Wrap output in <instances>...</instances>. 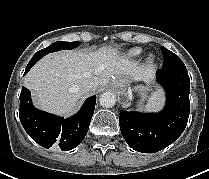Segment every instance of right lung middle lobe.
I'll return each instance as SVG.
<instances>
[{"instance_id":"obj_1","label":"right lung middle lobe","mask_w":209,"mask_h":179,"mask_svg":"<svg viewBox=\"0 0 209 179\" xmlns=\"http://www.w3.org/2000/svg\"><path fill=\"white\" fill-rule=\"evenodd\" d=\"M80 44V42L75 41V42H63V41H58L55 42L53 44H51L50 46H48L47 48H44L40 51H38L30 61H38L40 60L43 56H45L48 53L51 52H55V51H59L62 49H73L75 47H77Z\"/></svg>"}]
</instances>
